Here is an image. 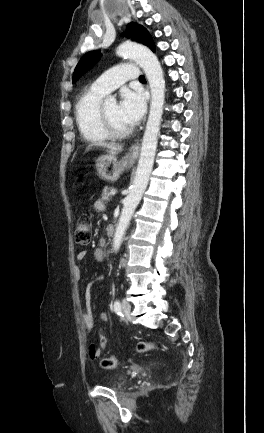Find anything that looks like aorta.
I'll use <instances>...</instances> for the list:
<instances>
[{
    "label": "aorta",
    "mask_w": 264,
    "mask_h": 433,
    "mask_svg": "<svg viewBox=\"0 0 264 433\" xmlns=\"http://www.w3.org/2000/svg\"><path fill=\"white\" fill-rule=\"evenodd\" d=\"M117 55L135 60L144 70L151 91L148 120L142 140L136 176L129 194L124 199L123 209L113 238V250L117 252L122 244L132 215L138 206L149 182L157 149V139L163 115L165 80L156 55L147 47L131 42L121 44Z\"/></svg>",
    "instance_id": "obj_1"
}]
</instances>
